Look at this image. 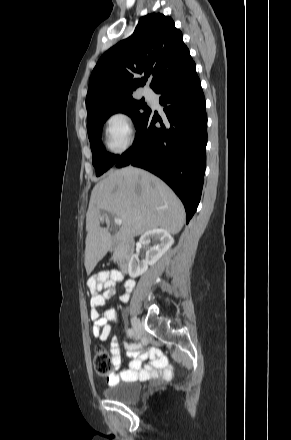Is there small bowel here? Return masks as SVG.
<instances>
[{
  "label": "small bowel",
  "mask_w": 291,
  "mask_h": 440,
  "mask_svg": "<svg viewBox=\"0 0 291 440\" xmlns=\"http://www.w3.org/2000/svg\"><path fill=\"white\" fill-rule=\"evenodd\" d=\"M122 280L121 273L117 271H105L87 281V287L91 294L89 315L93 321L92 334L101 341H105L108 338L113 327L118 324V320L112 310H106L101 313L99 307L113 296L114 287L117 283L122 282ZM134 286L135 283L132 280L125 282L124 291L120 296L122 301H128ZM126 347L130 361L126 366H123L117 338L114 337L110 343V364L112 370L106 377L107 383L110 386L117 385L121 381H133L138 377L142 379L149 377L164 378L171 375V365L166 357L162 355L154 357L142 368V361L146 357V351L141 350L135 353L133 352L134 347L129 343H126ZM155 353H158V349L156 348L152 350V354Z\"/></svg>",
  "instance_id": "c3829d8e"
}]
</instances>
